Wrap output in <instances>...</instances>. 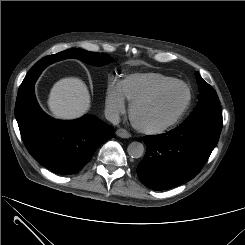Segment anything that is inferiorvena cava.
I'll use <instances>...</instances> for the list:
<instances>
[{
  "instance_id": "obj_1",
  "label": "inferior vena cava",
  "mask_w": 245,
  "mask_h": 245,
  "mask_svg": "<svg viewBox=\"0 0 245 245\" xmlns=\"http://www.w3.org/2000/svg\"><path fill=\"white\" fill-rule=\"evenodd\" d=\"M105 118L112 124L116 125L120 122V116L118 111L112 109L105 110Z\"/></svg>"
}]
</instances>
